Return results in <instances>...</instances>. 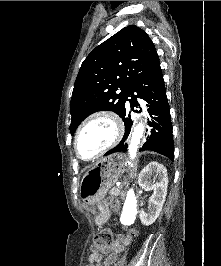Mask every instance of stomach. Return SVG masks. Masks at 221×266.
Masks as SVG:
<instances>
[{"label": "stomach", "mask_w": 221, "mask_h": 266, "mask_svg": "<svg viewBox=\"0 0 221 266\" xmlns=\"http://www.w3.org/2000/svg\"><path fill=\"white\" fill-rule=\"evenodd\" d=\"M123 155L112 154L100 159L82 177L80 197L87 205H100L107 191L117 181L123 167ZM105 210L100 209L96 220L105 217Z\"/></svg>", "instance_id": "0dacf381"}]
</instances>
